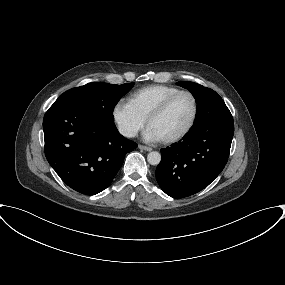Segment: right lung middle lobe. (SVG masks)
<instances>
[{
    "mask_svg": "<svg viewBox=\"0 0 285 285\" xmlns=\"http://www.w3.org/2000/svg\"><path fill=\"white\" fill-rule=\"evenodd\" d=\"M133 85L134 83H88L66 91L55 103L74 107L99 121L114 124V107Z\"/></svg>",
    "mask_w": 285,
    "mask_h": 285,
    "instance_id": "obj_1",
    "label": "right lung middle lobe"
}]
</instances>
